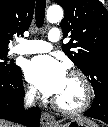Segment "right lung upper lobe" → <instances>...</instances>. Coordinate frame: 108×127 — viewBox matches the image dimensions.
Masks as SVG:
<instances>
[{"instance_id": "right-lung-upper-lobe-1", "label": "right lung upper lobe", "mask_w": 108, "mask_h": 127, "mask_svg": "<svg viewBox=\"0 0 108 127\" xmlns=\"http://www.w3.org/2000/svg\"><path fill=\"white\" fill-rule=\"evenodd\" d=\"M35 0L0 1V50H8L12 35H23L32 21Z\"/></svg>"}]
</instances>
